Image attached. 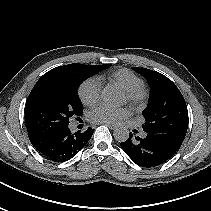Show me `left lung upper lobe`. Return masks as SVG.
I'll use <instances>...</instances> for the list:
<instances>
[{"label":"left lung upper lobe","mask_w":211,"mask_h":211,"mask_svg":"<svg viewBox=\"0 0 211 211\" xmlns=\"http://www.w3.org/2000/svg\"><path fill=\"white\" fill-rule=\"evenodd\" d=\"M151 87L149 102L142 115L143 130L179 150L188 128V110L176 85L163 74L146 68L133 67Z\"/></svg>","instance_id":"5c2ea615"}]
</instances>
